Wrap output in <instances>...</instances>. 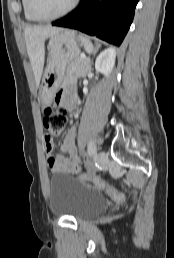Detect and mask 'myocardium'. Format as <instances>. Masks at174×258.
<instances>
[{"label":"myocardium","mask_w":174,"mask_h":258,"mask_svg":"<svg viewBox=\"0 0 174 258\" xmlns=\"http://www.w3.org/2000/svg\"><path fill=\"white\" fill-rule=\"evenodd\" d=\"M78 2L79 0H72L71 4L65 10L52 16H42L39 13H37L33 6V0H27V7L30 14L38 21H53L70 14L76 8Z\"/></svg>","instance_id":"1"}]
</instances>
